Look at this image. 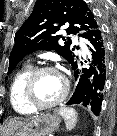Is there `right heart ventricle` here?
I'll return each mask as SVG.
<instances>
[{
	"mask_svg": "<svg viewBox=\"0 0 117 136\" xmlns=\"http://www.w3.org/2000/svg\"><path fill=\"white\" fill-rule=\"evenodd\" d=\"M33 68L30 65L23 67L13 78L10 87V101L15 112L20 115H30L35 112L26 102L24 89L27 78Z\"/></svg>",
	"mask_w": 117,
	"mask_h": 136,
	"instance_id": "e07e8e85",
	"label": "right heart ventricle"
}]
</instances>
